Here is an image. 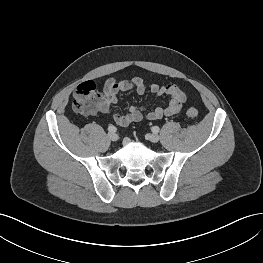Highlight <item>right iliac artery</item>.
Returning a JSON list of instances; mask_svg holds the SVG:
<instances>
[{"label": "right iliac artery", "mask_w": 263, "mask_h": 263, "mask_svg": "<svg viewBox=\"0 0 263 263\" xmlns=\"http://www.w3.org/2000/svg\"><path fill=\"white\" fill-rule=\"evenodd\" d=\"M116 127L115 126H113V125H110L109 127H108V131L109 132H116Z\"/></svg>", "instance_id": "1"}]
</instances>
